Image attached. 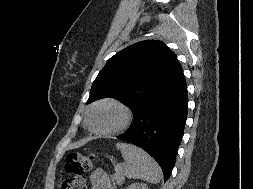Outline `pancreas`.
<instances>
[{
	"mask_svg": "<svg viewBox=\"0 0 253 189\" xmlns=\"http://www.w3.org/2000/svg\"><path fill=\"white\" fill-rule=\"evenodd\" d=\"M124 179H125L124 178V171L122 170V168L115 170L113 180H115L118 185H122V183L124 182Z\"/></svg>",
	"mask_w": 253,
	"mask_h": 189,
	"instance_id": "obj_1",
	"label": "pancreas"
}]
</instances>
